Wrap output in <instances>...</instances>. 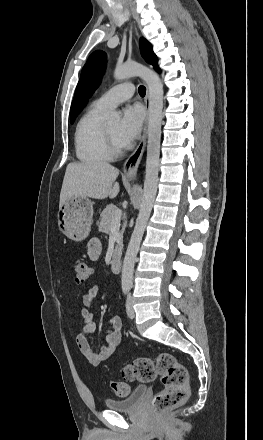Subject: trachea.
Wrapping results in <instances>:
<instances>
[{
    "label": "trachea",
    "mask_w": 263,
    "mask_h": 440,
    "mask_svg": "<svg viewBox=\"0 0 263 440\" xmlns=\"http://www.w3.org/2000/svg\"><path fill=\"white\" fill-rule=\"evenodd\" d=\"M138 92H139L140 96H145V94H146V88H145L143 85H141V86H139V88H138Z\"/></svg>",
    "instance_id": "3493384b"
}]
</instances>
